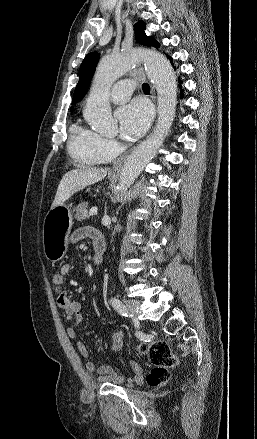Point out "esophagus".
Listing matches in <instances>:
<instances>
[{"instance_id": "obj_1", "label": "esophagus", "mask_w": 257, "mask_h": 439, "mask_svg": "<svg viewBox=\"0 0 257 439\" xmlns=\"http://www.w3.org/2000/svg\"><path fill=\"white\" fill-rule=\"evenodd\" d=\"M151 93H152V98L155 101V88H154V86H151ZM127 156H128V153L122 155L117 160H115V162L113 163V169H115V170L120 169L122 167L124 161L126 160Z\"/></svg>"}]
</instances>
